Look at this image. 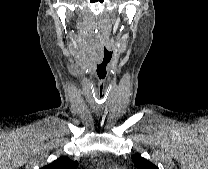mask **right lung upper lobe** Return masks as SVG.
Listing matches in <instances>:
<instances>
[{
  "mask_svg": "<svg viewBox=\"0 0 208 169\" xmlns=\"http://www.w3.org/2000/svg\"><path fill=\"white\" fill-rule=\"evenodd\" d=\"M77 165V161H72L68 157L61 156L41 169H76Z\"/></svg>",
  "mask_w": 208,
  "mask_h": 169,
  "instance_id": "right-lung-upper-lobe-1",
  "label": "right lung upper lobe"
}]
</instances>
